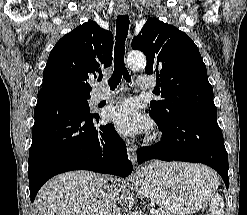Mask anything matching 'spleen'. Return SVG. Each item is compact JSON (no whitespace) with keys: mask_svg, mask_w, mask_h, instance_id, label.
Instances as JSON below:
<instances>
[{"mask_svg":"<svg viewBox=\"0 0 247 215\" xmlns=\"http://www.w3.org/2000/svg\"><path fill=\"white\" fill-rule=\"evenodd\" d=\"M210 214L224 215V202L218 193L211 196Z\"/></svg>","mask_w":247,"mask_h":215,"instance_id":"spleen-1","label":"spleen"}]
</instances>
